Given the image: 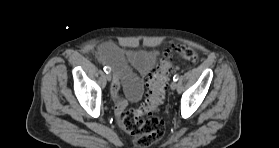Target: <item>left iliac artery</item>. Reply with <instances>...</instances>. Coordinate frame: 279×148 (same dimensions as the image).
Masks as SVG:
<instances>
[{
	"label": "left iliac artery",
	"mask_w": 279,
	"mask_h": 148,
	"mask_svg": "<svg viewBox=\"0 0 279 148\" xmlns=\"http://www.w3.org/2000/svg\"><path fill=\"white\" fill-rule=\"evenodd\" d=\"M179 80V75L178 74H176V75H174V77H173V81H178Z\"/></svg>",
	"instance_id": "obj_1"
}]
</instances>
